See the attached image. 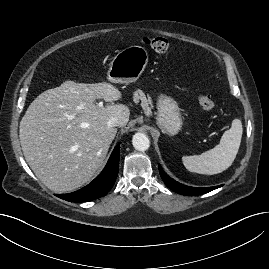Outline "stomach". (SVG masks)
<instances>
[{
    "label": "stomach",
    "instance_id": "stomach-1",
    "mask_svg": "<svg viewBox=\"0 0 269 269\" xmlns=\"http://www.w3.org/2000/svg\"><path fill=\"white\" fill-rule=\"evenodd\" d=\"M149 60L145 47L134 45L121 50L111 61L107 78L112 83L135 82L143 73ZM182 117L177 102L161 94L157 99V125L169 136L176 135L182 127Z\"/></svg>",
    "mask_w": 269,
    "mask_h": 269
}]
</instances>
